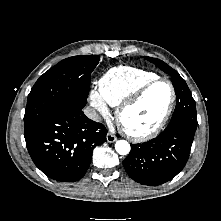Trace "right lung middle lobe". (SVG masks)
Masks as SVG:
<instances>
[{
  "mask_svg": "<svg viewBox=\"0 0 221 221\" xmlns=\"http://www.w3.org/2000/svg\"><path fill=\"white\" fill-rule=\"evenodd\" d=\"M99 60L98 55L69 57L40 76L28 95L24 133L53 114L82 109L89 94L91 73Z\"/></svg>",
  "mask_w": 221,
  "mask_h": 221,
  "instance_id": "obj_1",
  "label": "right lung middle lobe"
}]
</instances>
